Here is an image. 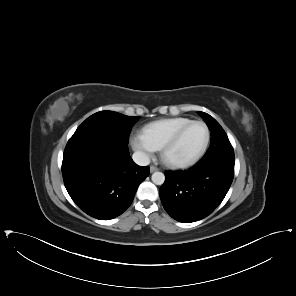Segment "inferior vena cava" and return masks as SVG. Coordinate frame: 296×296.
I'll use <instances>...</instances> for the list:
<instances>
[{
  "mask_svg": "<svg viewBox=\"0 0 296 296\" xmlns=\"http://www.w3.org/2000/svg\"><path fill=\"white\" fill-rule=\"evenodd\" d=\"M133 161L139 166H147L150 164V158L142 151H136L132 155Z\"/></svg>",
  "mask_w": 296,
  "mask_h": 296,
  "instance_id": "1",
  "label": "inferior vena cava"
}]
</instances>
